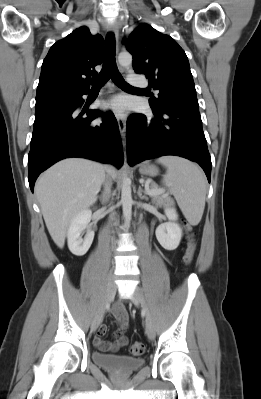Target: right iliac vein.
Wrapping results in <instances>:
<instances>
[{
    "mask_svg": "<svg viewBox=\"0 0 261 399\" xmlns=\"http://www.w3.org/2000/svg\"><path fill=\"white\" fill-rule=\"evenodd\" d=\"M116 293V285L113 279H110L107 283L106 286V291H105V295L103 297V300L97 310V312L95 313L93 320L91 322V331H96V329L98 328V326L100 325L106 306L108 303L111 302V300L114 298V295Z\"/></svg>",
    "mask_w": 261,
    "mask_h": 399,
    "instance_id": "right-iliac-vein-1",
    "label": "right iliac vein"
}]
</instances>
